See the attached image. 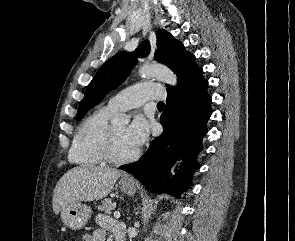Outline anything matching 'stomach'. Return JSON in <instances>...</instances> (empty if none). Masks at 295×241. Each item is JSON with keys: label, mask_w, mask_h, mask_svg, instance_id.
Returning <instances> with one entry per match:
<instances>
[{"label": "stomach", "mask_w": 295, "mask_h": 241, "mask_svg": "<svg viewBox=\"0 0 295 241\" xmlns=\"http://www.w3.org/2000/svg\"><path fill=\"white\" fill-rule=\"evenodd\" d=\"M120 189L127 195H133L136 191L134 181L119 182ZM91 215V209L81 202L69 204L61 210V220L69 228L73 230L82 229Z\"/></svg>", "instance_id": "1"}]
</instances>
